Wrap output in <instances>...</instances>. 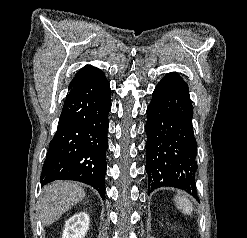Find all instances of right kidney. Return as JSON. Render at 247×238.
Masks as SVG:
<instances>
[{
  "instance_id": "obj_1",
  "label": "right kidney",
  "mask_w": 247,
  "mask_h": 238,
  "mask_svg": "<svg viewBox=\"0 0 247 238\" xmlns=\"http://www.w3.org/2000/svg\"><path fill=\"white\" fill-rule=\"evenodd\" d=\"M90 218L85 212L74 214L64 225L62 238H84L89 229Z\"/></svg>"
}]
</instances>
